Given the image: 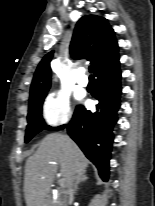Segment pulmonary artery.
Here are the masks:
<instances>
[{
    "label": "pulmonary artery",
    "mask_w": 155,
    "mask_h": 206,
    "mask_svg": "<svg viewBox=\"0 0 155 206\" xmlns=\"http://www.w3.org/2000/svg\"><path fill=\"white\" fill-rule=\"evenodd\" d=\"M77 82L81 86H87L89 83L88 77L85 74V69H81L79 76L77 78Z\"/></svg>",
    "instance_id": "e3ab8cb5"
}]
</instances>
